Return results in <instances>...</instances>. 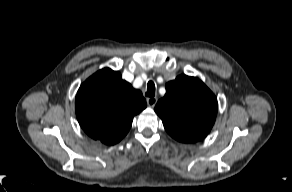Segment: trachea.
Here are the masks:
<instances>
[{
	"label": "trachea",
	"mask_w": 292,
	"mask_h": 192,
	"mask_svg": "<svg viewBox=\"0 0 292 192\" xmlns=\"http://www.w3.org/2000/svg\"><path fill=\"white\" fill-rule=\"evenodd\" d=\"M146 96L154 97L155 96V84L153 81H149L147 84Z\"/></svg>",
	"instance_id": "obj_1"
}]
</instances>
